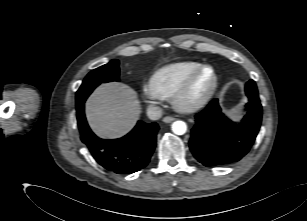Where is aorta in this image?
Masks as SVG:
<instances>
[{
	"label": "aorta",
	"instance_id": "762f6f07",
	"mask_svg": "<svg viewBox=\"0 0 307 221\" xmlns=\"http://www.w3.org/2000/svg\"><path fill=\"white\" fill-rule=\"evenodd\" d=\"M171 128L176 135H183L187 131L186 123L180 120L173 122Z\"/></svg>",
	"mask_w": 307,
	"mask_h": 221
}]
</instances>
